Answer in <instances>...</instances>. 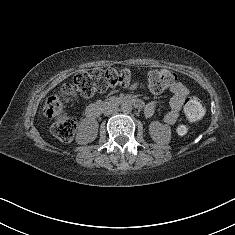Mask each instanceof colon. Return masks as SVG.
I'll list each match as a JSON object with an SVG mask.
<instances>
[{
  "label": "colon",
  "mask_w": 235,
  "mask_h": 235,
  "mask_svg": "<svg viewBox=\"0 0 235 235\" xmlns=\"http://www.w3.org/2000/svg\"><path fill=\"white\" fill-rule=\"evenodd\" d=\"M130 82L131 74L128 70L95 69L78 73L72 82L62 87V93L73 99L90 98L113 87H126ZM175 82L176 75L163 68L151 70L147 76V86L155 94L163 92ZM183 110L186 118L192 122L199 120L204 114L203 104L196 97L187 98ZM44 114L54 120L51 130L55 137L64 142L72 140L77 122L63 111L62 103L57 96H51L46 100ZM179 132H186V127L181 126Z\"/></svg>",
  "instance_id": "5ec220e1"
}]
</instances>
